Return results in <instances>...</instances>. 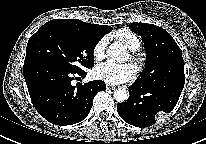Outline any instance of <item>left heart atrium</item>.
I'll return each mask as SVG.
<instances>
[{"label":"left heart atrium","instance_id":"left-heart-atrium-1","mask_svg":"<svg viewBox=\"0 0 206 144\" xmlns=\"http://www.w3.org/2000/svg\"><path fill=\"white\" fill-rule=\"evenodd\" d=\"M95 76L108 84H121L133 80L136 69L130 63L118 64L107 61L96 67Z\"/></svg>","mask_w":206,"mask_h":144}]
</instances>
